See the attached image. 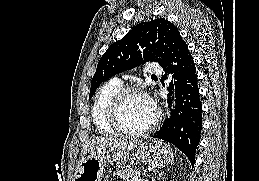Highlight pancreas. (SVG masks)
I'll return each instance as SVG.
<instances>
[{
  "mask_svg": "<svg viewBox=\"0 0 259 181\" xmlns=\"http://www.w3.org/2000/svg\"><path fill=\"white\" fill-rule=\"evenodd\" d=\"M140 174V170L133 168H126L122 170H118L116 175L122 179L123 181H131L130 178L137 177Z\"/></svg>",
  "mask_w": 259,
  "mask_h": 181,
  "instance_id": "cf45deb5",
  "label": "pancreas"
}]
</instances>
